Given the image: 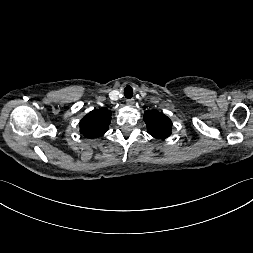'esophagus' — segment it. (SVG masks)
<instances>
[{
    "label": "esophagus",
    "mask_w": 253,
    "mask_h": 253,
    "mask_svg": "<svg viewBox=\"0 0 253 253\" xmlns=\"http://www.w3.org/2000/svg\"><path fill=\"white\" fill-rule=\"evenodd\" d=\"M126 104H127L128 106H133V105H134V99H128V100L126 101Z\"/></svg>",
    "instance_id": "esophagus-1"
}]
</instances>
